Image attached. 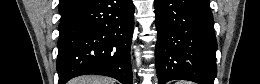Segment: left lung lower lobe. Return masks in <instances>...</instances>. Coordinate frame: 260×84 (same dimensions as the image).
Returning a JSON list of instances; mask_svg holds the SVG:
<instances>
[{
	"instance_id": "left-lung-lower-lobe-1",
	"label": "left lung lower lobe",
	"mask_w": 260,
	"mask_h": 84,
	"mask_svg": "<svg viewBox=\"0 0 260 84\" xmlns=\"http://www.w3.org/2000/svg\"><path fill=\"white\" fill-rule=\"evenodd\" d=\"M159 84L174 79L214 84V20L209 0H154Z\"/></svg>"
}]
</instances>
